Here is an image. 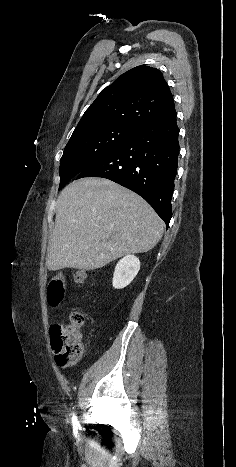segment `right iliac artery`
<instances>
[{
	"label": "right iliac artery",
	"instance_id": "82829eb1",
	"mask_svg": "<svg viewBox=\"0 0 236 467\" xmlns=\"http://www.w3.org/2000/svg\"><path fill=\"white\" fill-rule=\"evenodd\" d=\"M72 423H73V424H78L77 417H76L75 414H73Z\"/></svg>",
	"mask_w": 236,
	"mask_h": 467
}]
</instances>
